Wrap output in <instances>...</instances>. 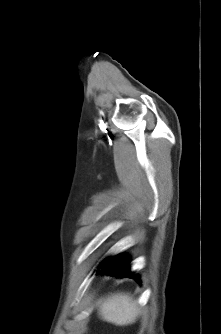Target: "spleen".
I'll list each match as a JSON object with an SVG mask.
<instances>
[{
    "instance_id": "1",
    "label": "spleen",
    "mask_w": 221,
    "mask_h": 334,
    "mask_svg": "<svg viewBox=\"0 0 221 334\" xmlns=\"http://www.w3.org/2000/svg\"><path fill=\"white\" fill-rule=\"evenodd\" d=\"M139 307L128 294L115 293L100 302L99 315L104 321L118 326L135 322Z\"/></svg>"
}]
</instances>
